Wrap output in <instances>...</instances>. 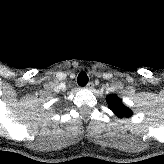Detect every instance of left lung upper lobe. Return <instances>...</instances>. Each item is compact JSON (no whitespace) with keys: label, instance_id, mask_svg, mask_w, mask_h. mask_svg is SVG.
Masks as SVG:
<instances>
[{"label":"left lung upper lobe","instance_id":"1","mask_svg":"<svg viewBox=\"0 0 164 164\" xmlns=\"http://www.w3.org/2000/svg\"><path fill=\"white\" fill-rule=\"evenodd\" d=\"M107 101L110 109L117 115L118 117H130L132 115V111L127 108L122 100L116 95L107 96Z\"/></svg>","mask_w":164,"mask_h":164}]
</instances>
